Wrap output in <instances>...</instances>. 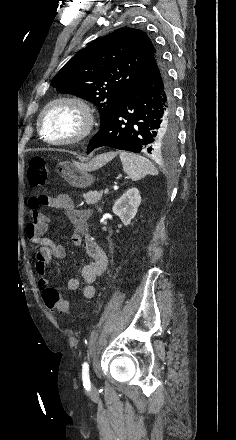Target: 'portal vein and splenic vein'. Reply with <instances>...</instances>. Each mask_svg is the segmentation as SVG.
I'll return each instance as SVG.
<instances>
[{
	"label": "portal vein and splenic vein",
	"mask_w": 236,
	"mask_h": 440,
	"mask_svg": "<svg viewBox=\"0 0 236 440\" xmlns=\"http://www.w3.org/2000/svg\"><path fill=\"white\" fill-rule=\"evenodd\" d=\"M108 192H109V189L106 188V189L104 190V194H108Z\"/></svg>",
	"instance_id": "18ae733b"
}]
</instances>
